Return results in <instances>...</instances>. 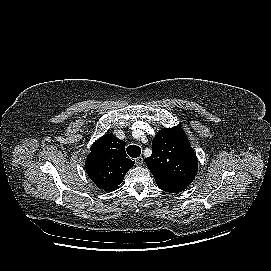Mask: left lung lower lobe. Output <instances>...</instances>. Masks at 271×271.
Instances as JSON below:
<instances>
[{
  "label": "left lung lower lobe",
  "instance_id": "1",
  "mask_svg": "<svg viewBox=\"0 0 271 271\" xmlns=\"http://www.w3.org/2000/svg\"><path fill=\"white\" fill-rule=\"evenodd\" d=\"M180 186H183V190L187 187V186H185V184H180Z\"/></svg>",
  "mask_w": 271,
  "mask_h": 271
}]
</instances>
